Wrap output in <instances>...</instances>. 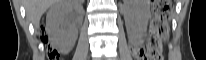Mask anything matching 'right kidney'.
Segmentation results:
<instances>
[{
    "label": "right kidney",
    "mask_w": 206,
    "mask_h": 60,
    "mask_svg": "<svg viewBox=\"0 0 206 60\" xmlns=\"http://www.w3.org/2000/svg\"><path fill=\"white\" fill-rule=\"evenodd\" d=\"M77 6L75 0H62L55 3L46 18L51 41L62 50H69L75 43L77 31L68 22L67 14Z\"/></svg>",
    "instance_id": "ca27d5eb"
}]
</instances>
